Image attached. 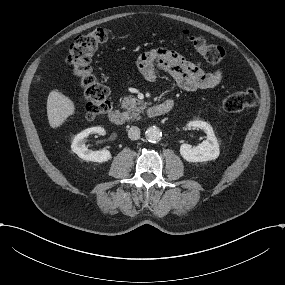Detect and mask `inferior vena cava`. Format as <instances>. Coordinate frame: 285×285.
Returning a JSON list of instances; mask_svg holds the SVG:
<instances>
[{"label":"inferior vena cava","instance_id":"602c4592","mask_svg":"<svg viewBox=\"0 0 285 285\" xmlns=\"http://www.w3.org/2000/svg\"><path fill=\"white\" fill-rule=\"evenodd\" d=\"M128 137L131 140H137L140 138V129L136 126H132L128 131Z\"/></svg>","mask_w":285,"mask_h":285}]
</instances>
